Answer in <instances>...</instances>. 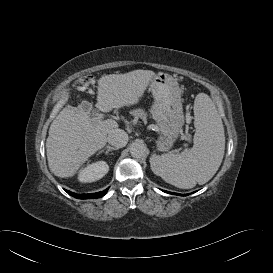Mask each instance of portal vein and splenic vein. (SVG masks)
I'll use <instances>...</instances> for the list:
<instances>
[{"instance_id":"1","label":"portal vein and splenic vein","mask_w":273,"mask_h":273,"mask_svg":"<svg viewBox=\"0 0 273 273\" xmlns=\"http://www.w3.org/2000/svg\"><path fill=\"white\" fill-rule=\"evenodd\" d=\"M92 119L93 120H98V121H102L103 120V118L100 115H98L97 117H93Z\"/></svg>"}]
</instances>
